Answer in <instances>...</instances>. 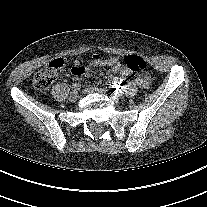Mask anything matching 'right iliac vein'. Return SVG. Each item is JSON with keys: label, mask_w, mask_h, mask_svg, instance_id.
<instances>
[{"label": "right iliac vein", "mask_w": 207, "mask_h": 207, "mask_svg": "<svg viewBox=\"0 0 207 207\" xmlns=\"http://www.w3.org/2000/svg\"><path fill=\"white\" fill-rule=\"evenodd\" d=\"M77 98H78V91L72 92L70 97H69L70 101H73V102L76 101Z\"/></svg>", "instance_id": "1"}]
</instances>
